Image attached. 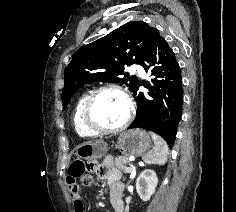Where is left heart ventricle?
Masks as SVG:
<instances>
[{
  "mask_svg": "<svg viewBox=\"0 0 236 212\" xmlns=\"http://www.w3.org/2000/svg\"><path fill=\"white\" fill-rule=\"evenodd\" d=\"M128 106L124 97L113 90L100 93L93 104L92 119L101 128H116L126 119Z\"/></svg>",
  "mask_w": 236,
  "mask_h": 212,
  "instance_id": "b2bd125f",
  "label": "left heart ventricle"
}]
</instances>
